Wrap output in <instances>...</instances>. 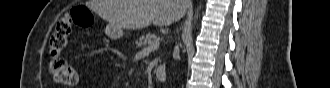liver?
<instances>
[{"mask_svg": "<svg viewBox=\"0 0 330 88\" xmlns=\"http://www.w3.org/2000/svg\"><path fill=\"white\" fill-rule=\"evenodd\" d=\"M189 0H99L97 12L110 25L140 29L150 24L168 26L181 19Z\"/></svg>", "mask_w": 330, "mask_h": 88, "instance_id": "1", "label": "liver"}]
</instances>
